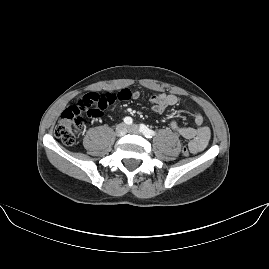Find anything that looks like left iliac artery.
<instances>
[{"label": "left iliac artery", "mask_w": 269, "mask_h": 269, "mask_svg": "<svg viewBox=\"0 0 269 269\" xmlns=\"http://www.w3.org/2000/svg\"><path fill=\"white\" fill-rule=\"evenodd\" d=\"M140 132L146 137V138H152L155 135V132L151 129H149L146 125L140 124Z\"/></svg>", "instance_id": "44dca946"}]
</instances>
